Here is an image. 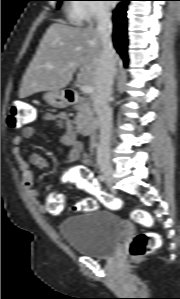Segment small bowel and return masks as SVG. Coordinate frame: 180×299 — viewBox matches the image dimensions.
Listing matches in <instances>:
<instances>
[{
	"label": "small bowel",
	"mask_w": 180,
	"mask_h": 299,
	"mask_svg": "<svg viewBox=\"0 0 180 299\" xmlns=\"http://www.w3.org/2000/svg\"><path fill=\"white\" fill-rule=\"evenodd\" d=\"M44 120L47 123H56L63 131L61 142L63 145L69 147L68 155L64 160L65 164H73L79 160L84 154L83 144L77 138V130L72 119H70L66 113H46ZM35 126H27L22 130L20 135L13 138L14 148L12 153L18 162L19 169L22 173V184L25 192L28 195L31 203L40 212L46 211V206L39 201V194L34 187V179L31 171V166H35L39 169H46L49 167L48 161L40 154H32L27 159L23 155L20 145L25 139H30L36 134ZM84 161L89 162L87 155L84 156ZM86 172V166L78 165L74 166L66 175L63 176L62 182L67 188H72L79 185L78 179L82 173Z\"/></svg>",
	"instance_id": "obj_1"
}]
</instances>
